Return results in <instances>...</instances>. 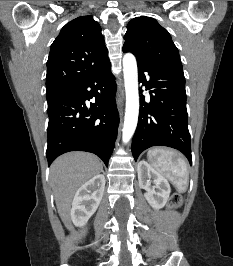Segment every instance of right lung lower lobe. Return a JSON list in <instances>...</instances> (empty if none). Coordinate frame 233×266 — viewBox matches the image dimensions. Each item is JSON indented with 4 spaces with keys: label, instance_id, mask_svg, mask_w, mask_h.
Instances as JSON below:
<instances>
[{
    "label": "right lung lower lobe",
    "instance_id": "1",
    "mask_svg": "<svg viewBox=\"0 0 233 266\" xmlns=\"http://www.w3.org/2000/svg\"><path fill=\"white\" fill-rule=\"evenodd\" d=\"M110 67L109 62L48 102V165L59 155L75 150L92 152L108 165L119 125L116 84ZM92 98L95 103L86 107L85 100Z\"/></svg>",
    "mask_w": 233,
    "mask_h": 266
}]
</instances>
